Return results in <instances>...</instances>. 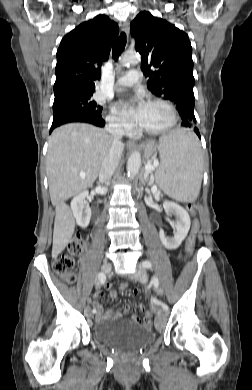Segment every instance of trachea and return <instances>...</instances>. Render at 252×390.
I'll return each mask as SVG.
<instances>
[{"label":"trachea","instance_id":"obj_1","mask_svg":"<svg viewBox=\"0 0 252 390\" xmlns=\"http://www.w3.org/2000/svg\"><path fill=\"white\" fill-rule=\"evenodd\" d=\"M126 45V34L121 33L117 38L115 44L113 45L112 55L115 60L119 57V55L123 52Z\"/></svg>","mask_w":252,"mask_h":390}]
</instances>
